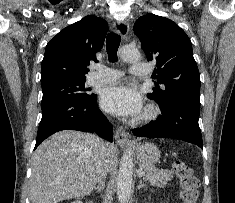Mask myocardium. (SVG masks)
Returning a JSON list of instances; mask_svg holds the SVG:
<instances>
[{
  "label": "myocardium",
  "instance_id": "myocardium-1",
  "mask_svg": "<svg viewBox=\"0 0 235 203\" xmlns=\"http://www.w3.org/2000/svg\"><path fill=\"white\" fill-rule=\"evenodd\" d=\"M158 115H159V109L154 105H150L145 109L140 120L142 122H150L154 120Z\"/></svg>",
  "mask_w": 235,
  "mask_h": 203
}]
</instances>
